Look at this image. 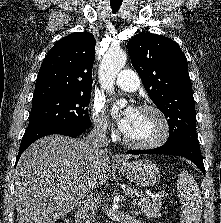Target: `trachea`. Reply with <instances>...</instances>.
I'll list each match as a JSON object with an SVG mask.
<instances>
[{
  "label": "trachea",
  "instance_id": "trachea-1",
  "mask_svg": "<svg viewBox=\"0 0 221 223\" xmlns=\"http://www.w3.org/2000/svg\"><path fill=\"white\" fill-rule=\"evenodd\" d=\"M111 9L114 13H116L122 5V0H111Z\"/></svg>",
  "mask_w": 221,
  "mask_h": 223
}]
</instances>
